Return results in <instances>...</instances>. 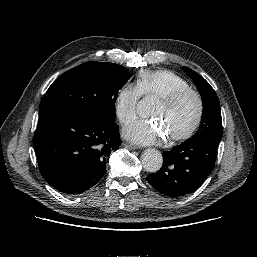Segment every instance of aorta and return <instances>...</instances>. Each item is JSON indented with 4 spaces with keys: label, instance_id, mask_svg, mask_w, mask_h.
Listing matches in <instances>:
<instances>
[{
    "label": "aorta",
    "instance_id": "aorta-1",
    "mask_svg": "<svg viewBox=\"0 0 257 257\" xmlns=\"http://www.w3.org/2000/svg\"><path fill=\"white\" fill-rule=\"evenodd\" d=\"M153 99L151 97H145L138 102L137 111L139 115L146 116L152 107ZM141 162L143 168L147 172H157L163 163L162 154L155 149H147L141 156Z\"/></svg>",
    "mask_w": 257,
    "mask_h": 257
}]
</instances>
